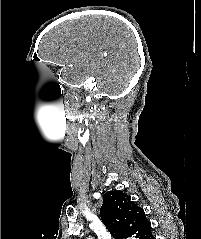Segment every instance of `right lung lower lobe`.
Segmentation results:
<instances>
[{
	"label": "right lung lower lobe",
	"instance_id": "98d812e1",
	"mask_svg": "<svg viewBox=\"0 0 201 239\" xmlns=\"http://www.w3.org/2000/svg\"><path fill=\"white\" fill-rule=\"evenodd\" d=\"M150 239H155V238L153 237V235H151Z\"/></svg>",
	"mask_w": 201,
	"mask_h": 239
}]
</instances>
